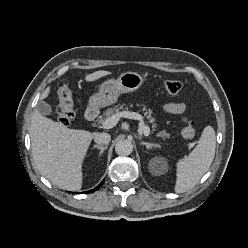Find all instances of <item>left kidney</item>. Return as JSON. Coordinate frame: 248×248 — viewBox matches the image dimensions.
Returning <instances> with one entry per match:
<instances>
[{"instance_id": "1", "label": "left kidney", "mask_w": 248, "mask_h": 248, "mask_svg": "<svg viewBox=\"0 0 248 248\" xmlns=\"http://www.w3.org/2000/svg\"><path fill=\"white\" fill-rule=\"evenodd\" d=\"M159 163L165 164V160L162 157H155L150 161L149 169H150L151 173H153V174L158 173L157 165Z\"/></svg>"}]
</instances>
